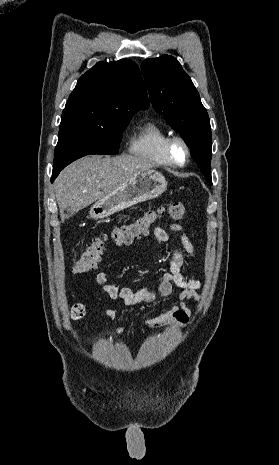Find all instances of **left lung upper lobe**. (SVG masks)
Listing matches in <instances>:
<instances>
[{"label": "left lung upper lobe", "mask_w": 279, "mask_h": 465, "mask_svg": "<svg viewBox=\"0 0 279 465\" xmlns=\"http://www.w3.org/2000/svg\"><path fill=\"white\" fill-rule=\"evenodd\" d=\"M141 69L154 109L184 138L201 172L212 183L209 117L190 77L169 55L146 59Z\"/></svg>", "instance_id": "5c2ea615"}]
</instances>
